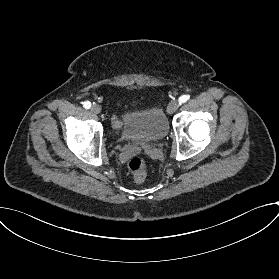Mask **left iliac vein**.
Here are the masks:
<instances>
[{
  "label": "left iliac vein",
  "mask_w": 279,
  "mask_h": 279,
  "mask_svg": "<svg viewBox=\"0 0 279 279\" xmlns=\"http://www.w3.org/2000/svg\"><path fill=\"white\" fill-rule=\"evenodd\" d=\"M179 103L177 101H171L167 106V112L172 114L177 111Z\"/></svg>",
  "instance_id": "1"
}]
</instances>
